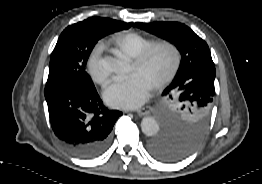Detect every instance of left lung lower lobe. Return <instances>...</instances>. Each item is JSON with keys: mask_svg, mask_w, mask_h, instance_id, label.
Returning a JSON list of instances; mask_svg holds the SVG:
<instances>
[{"mask_svg": "<svg viewBox=\"0 0 262 184\" xmlns=\"http://www.w3.org/2000/svg\"><path fill=\"white\" fill-rule=\"evenodd\" d=\"M148 152L162 162H175L188 156L194 149L185 143L173 140L164 133L149 142Z\"/></svg>", "mask_w": 262, "mask_h": 184, "instance_id": "1", "label": "left lung lower lobe"}]
</instances>
